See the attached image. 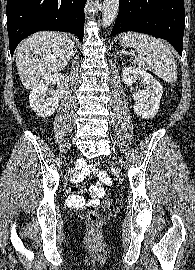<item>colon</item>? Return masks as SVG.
I'll return each instance as SVG.
<instances>
[{"label": "colon", "instance_id": "1", "mask_svg": "<svg viewBox=\"0 0 195 270\" xmlns=\"http://www.w3.org/2000/svg\"><path fill=\"white\" fill-rule=\"evenodd\" d=\"M113 204L111 199L106 200L105 205L110 207ZM86 221L90 228L96 229L100 225V217L96 211H89L86 215Z\"/></svg>", "mask_w": 195, "mask_h": 270}]
</instances>
